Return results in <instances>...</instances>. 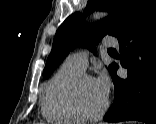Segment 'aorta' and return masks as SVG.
Returning <instances> with one entry per match:
<instances>
[{
	"mask_svg": "<svg viewBox=\"0 0 156 124\" xmlns=\"http://www.w3.org/2000/svg\"><path fill=\"white\" fill-rule=\"evenodd\" d=\"M107 15V13H100V12H97V13H95L94 14V19H101V18H103L104 16H106Z\"/></svg>",
	"mask_w": 156,
	"mask_h": 124,
	"instance_id": "obj_1",
	"label": "aorta"
}]
</instances>
